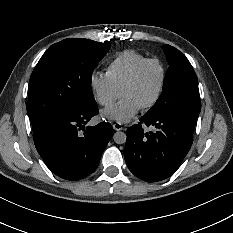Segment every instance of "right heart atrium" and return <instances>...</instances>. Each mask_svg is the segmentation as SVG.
<instances>
[{"instance_id":"obj_1","label":"right heart atrium","mask_w":233,"mask_h":233,"mask_svg":"<svg viewBox=\"0 0 233 233\" xmlns=\"http://www.w3.org/2000/svg\"><path fill=\"white\" fill-rule=\"evenodd\" d=\"M89 87L95 100L102 106H110L118 97L119 91L106 75L93 72L89 78Z\"/></svg>"}]
</instances>
